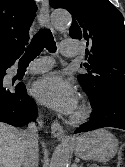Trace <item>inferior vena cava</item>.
Instances as JSON below:
<instances>
[{
    "label": "inferior vena cava",
    "mask_w": 125,
    "mask_h": 167,
    "mask_svg": "<svg viewBox=\"0 0 125 167\" xmlns=\"http://www.w3.org/2000/svg\"><path fill=\"white\" fill-rule=\"evenodd\" d=\"M38 126L31 122L22 132L23 167H38V128L42 127V120H37Z\"/></svg>",
    "instance_id": "1"
}]
</instances>
